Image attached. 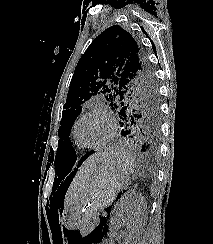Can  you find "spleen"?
I'll return each mask as SVG.
<instances>
[{"instance_id": "1", "label": "spleen", "mask_w": 213, "mask_h": 244, "mask_svg": "<svg viewBox=\"0 0 213 244\" xmlns=\"http://www.w3.org/2000/svg\"><path fill=\"white\" fill-rule=\"evenodd\" d=\"M121 158L124 161L125 167L131 172H136L137 165L135 164V160L132 156L128 155L127 153L123 152L121 154Z\"/></svg>"}]
</instances>
